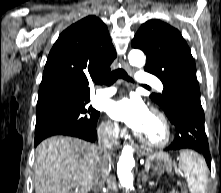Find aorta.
Here are the masks:
<instances>
[{"instance_id": "obj_1", "label": "aorta", "mask_w": 221, "mask_h": 193, "mask_svg": "<svg viewBox=\"0 0 221 193\" xmlns=\"http://www.w3.org/2000/svg\"><path fill=\"white\" fill-rule=\"evenodd\" d=\"M129 63L135 67H143L146 63V57L141 50L133 49L128 54ZM135 165L133 149L127 145L123 148L119 161L117 163V175L120 184L127 190L133 187L132 168Z\"/></svg>"}]
</instances>
